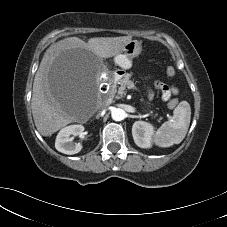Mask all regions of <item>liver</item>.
<instances>
[{
  "instance_id": "liver-1",
  "label": "liver",
  "mask_w": 227,
  "mask_h": 227,
  "mask_svg": "<svg viewBox=\"0 0 227 227\" xmlns=\"http://www.w3.org/2000/svg\"><path fill=\"white\" fill-rule=\"evenodd\" d=\"M131 39V35L95 37L86 43L77 37H69L53 43L45 51L34 78L31 102L34 123L42 136H51L80 119V100L87 98L89 92L99 96L100 59L115 56ZM66 60L80 63L87 74L84 88L73 95L59 92L52 81L55 67Z\"/></svg>"
}]
</instances>
